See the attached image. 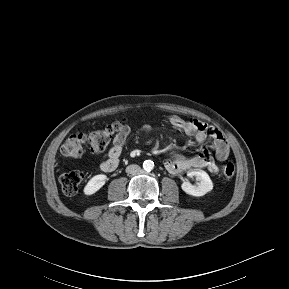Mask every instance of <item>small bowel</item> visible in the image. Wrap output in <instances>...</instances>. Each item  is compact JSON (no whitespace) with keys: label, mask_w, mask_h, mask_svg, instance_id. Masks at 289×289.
Wrapping results in <instances>:
<instances>
[{"label":"small bowel","mask_w":289,"mask_h":289,"mask_svg":"<svg viewBox=\"0 0 289 289\" xmlns=\"http://www.w3.org/2000/svg\"><path fill=\"white\" fill-rule=\"evenodd\" d=\"M168 122L180 132L187 134L194 139L196 144L203 143L206 139L211 140L210 146L195 155H182L172 153L165 161L166 169L172 174H180L195 168H207L209 172L218 171L217 161H225L229 156V147L221 133L213 126L197 119H182L177 115H169ZM144 131H150V126H145ZM130 134V128L123 125L115 134L111 147L100 162L103 171L111 172L119 164L123 146Z\"/></svg>","instance_id":"obj_1"}]
</instances>
